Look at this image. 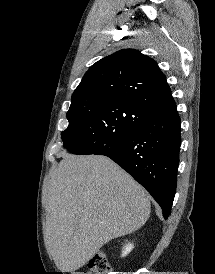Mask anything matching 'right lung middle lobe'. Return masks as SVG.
Returning a JSON list of instances; mask_svg holds the SVG:
<instances>
[{"instance_id": "dd1d6c3e", "label": "right lung middle lobe", "mask_w": 215, "mask_h": 274, "mask_svg": "<svg viewBox=\"0 0 215 274\" xmlns=\"http://www.w3.org/2000/svg\"><path fill=\"white\" fill-rule=\"evenodd\" d=\"M151 112L119 100L71 103L68 128L61 133L64 148L73 154H95L136 131Z\"/></svg>"}]
</instances>
